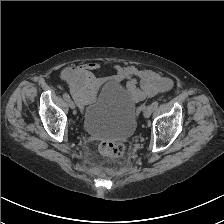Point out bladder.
I'll return each mask as SVG.
<instances>
[{
	"label": "bladder",
	"mask_w": 224,
	"mask_h": 224,
	"mask_svg": "<svg viewBox=\"0 0 224 224\" xmlns=\"http://www.w3.org/2000/svg\"><path fill=\"white\" fill-rule=\"evenodd\" d=\"M82 127L93 137L127 139L136 128L135 102L117 83L107 82L84 108Z\"/></svg>",
	"instance_id": "bladder-1"
}]
</instances>
